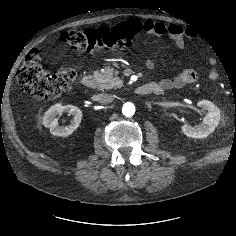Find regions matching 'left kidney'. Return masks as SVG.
Returning a JSON list of instances; mask_svg holds the SVG:
<instances>
[{
    "instance_id": "left-kidney-1",
    "label": "left kidney",
    "mask_w": 236,
    "mask_h": 236,
    "mask_svg": "<svg viewBox=\"0 0 236 236\" xmlns=\"http://www.w3.org/2000/svg\"><path fill=\"white\" fill-rule=\"evenodd\" d=\"M198 107L207 111L201 124L191 126L189 124L182 125V132L191 138H206L219 125L221 119L220 109L211 101L200 100L197 103Z\"/></svg>"
}]
</instances>
